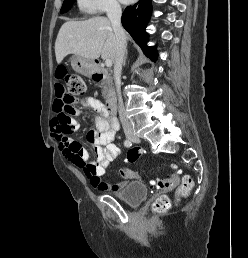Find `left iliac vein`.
I'll return each instance as SVG.
<instances>
[{
  "instance_id": "obj_1",
  "label": "left iliac vein",
  "mask_w": 248,
  "mask_h": 258,
  "mask_svg": "<svg viewBox=\"0 0 248 258\" xmlns=\"http://www.w3.org/2000/svg\"><path fill=\"white\" fill-rule=\"evenodd\" d=\"M132 141L134 143H139L140 142V138L139 137H135V138L132 139Z\"/></svg>"
}]
</instances>
